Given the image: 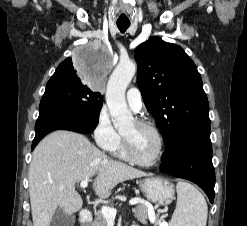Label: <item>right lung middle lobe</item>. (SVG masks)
Returning a JSON list of instances; mask_svg holds the SVG:
<instances>
[{
    "instance_id": "obj_1",
    "label": "right lung middle lobe",
    "mask_w": 247,
    "mask_h": 226,
    "mask_svg": "<svg viewBox=\"0 0 247 226\" xmlns=\"http://www.w3.org/2000/svg\"><path fill=\"white\" fill-rule=\"evenodd\" d=\"M47 102L57 103L73 112L93 117L94 120L99 121L103 98L99 92L83 86L71 62L70 66L56 70L48 81L40 106Z\"/></svg>"
}]
</instances>
